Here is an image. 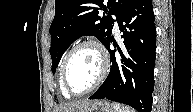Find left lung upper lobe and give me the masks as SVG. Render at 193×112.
<instances>
[{
	"label": "left lung upper lobe",
	"instance_id": "5c2ea615",
	"mask_svg": "<svg viewBox=\"0 0 193 112\" xmlns=\"http://www.w3.org/2000/svg\"><path fill=\"white\" fill-rule=\"evenodd\" d=\"M133 0H56L55 17L50 26L53 73L66 49L84 35H94L103 45L108 42L114 19ZM99 9H103L102 16Z\"/></svg>",
	"mask_w": 193,
	"mask_h": 112
}]
</instances>
